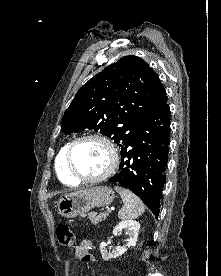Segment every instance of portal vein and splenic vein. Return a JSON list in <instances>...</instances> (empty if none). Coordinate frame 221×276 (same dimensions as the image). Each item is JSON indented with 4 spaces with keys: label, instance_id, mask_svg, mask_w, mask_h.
Listing matches in <instances>:
<instances>
[{
    "label": "portal vein and splenic vein",
    "instance_id": "18ae733b",
    "mask_svg": "<svg viewBox=\"0 0 221 276\" xmlns=\"http://www.w3.org/2000/svg\"><path fill=\"white\" fill-rule=\"evenodd\" d=\"M111 212V209H107L106 213H110Z\"/></svg>",
    "mask_w": 221,
    "mask_h": 276
}]
</instances>
